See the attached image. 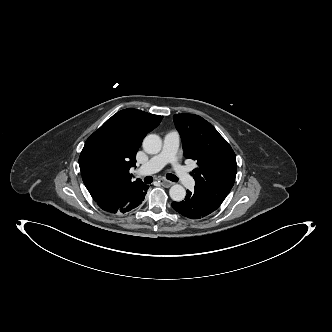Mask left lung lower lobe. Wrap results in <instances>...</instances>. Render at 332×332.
<instances>
[{
	"instance_id": "left-lung-lower-lobe-1",
	"label": "left lung lower lobe",
	"mask_w": 332,
	"mask_h": 332,
	"mask_svg": "<svg viewBox=\"0 0 332 332\" xmlns=\"http://www.w3.org/2000/svg\"><path fill=\"white\" fill-rule=\"evenodd\" d=\"M220 205L214 203L202 194L187 190L184 201L172 202V207L181 215L190 219H200L219 208Z\"/></svg>"
}]
</instances>
